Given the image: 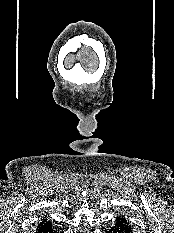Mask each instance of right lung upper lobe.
<instances>
[{
  "label": "right lung upper lobe",
  "instance_id": "obj_1",
  "mask_svg": "<svg viewBox=\"0 0 174 233\" xmlns=\"http://www.w3.org/2000/svg\"><path fill=\"white\" fill-rule=\"evenodd\" d=\"M48 225H52V222H51L50 220L43 219V220L38 224V228L44 227V226H48Z\"/></svg>",
  "mask_w": 174,
  "mask_h": 233
}]
</instances>
